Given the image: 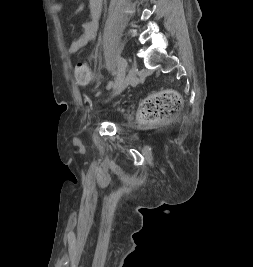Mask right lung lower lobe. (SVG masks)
<instances>
[{
	"label": "right lung lower lobe",
	"instance_id": "1",
	"mask_svg": "<svg viewBox=\"0 0 253 267\" xmlns=\"http://www.w3.org/2000/svg\"><path fill=\"white\" fill-rule=\"evenodd\" d=\"M157 213H158L157 210H148V211L146 212V216H147V217H152V216L157 215Z\"/></svg>",
	"mask_w": 253,
	"mask_h": 267
}]
</instances>
